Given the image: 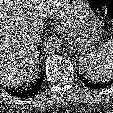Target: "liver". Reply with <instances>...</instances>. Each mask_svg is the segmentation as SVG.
Masks as SVG:
<instances>
[{
  "instance_id": "1",
  "label": "liver",
  "mask_w": 113,
  "mask_h": 113,
  "mask_svg": "<svg viewBox=\"0 0 113 113\" xmlns=\"http://www.w3.org/2000/svg\"><path fill=\"white\" fill-rule=\"evenodd\" d=\"M71 12L69 0H0V84L17 88L37 73L36 24Z\"/></svg>"
}]
</instances>
